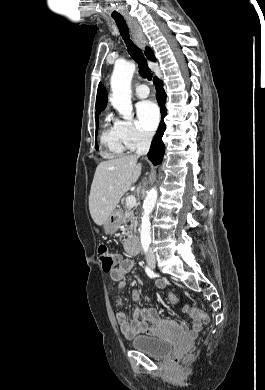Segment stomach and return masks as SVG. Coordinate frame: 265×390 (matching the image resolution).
Here are the masks:
<instances>
[{
	"label": "stomach",
	"mask_w": 265,
	"mask_h": 390,
	"mask_svg": "<svg viewBox=\"0 0 265 390\" xmlns=\"http://www.w3.org/2000/svg\"><path fill=\"white\" fill-rule=\"evenodd\" d=\"M121 222L120 215L114 211L110 214L106 222L103 224V228L106 234L112 235L117 232Z\"/></svg>",
	"instance_id": "0dacf381"
}]
</instances>
